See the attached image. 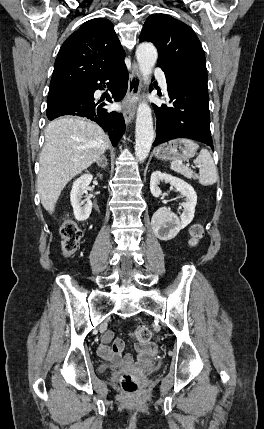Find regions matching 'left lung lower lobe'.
I'll return each mask as SVG.
<instances>
[{"label":"left lung lower lobe","mask_w":264,"mask_h":429,"mask_svg":"<svg viewBox=\"0 0 264 429\" xmlns=\"http://www.w3.org/2000/svg\"><path fill=\"white\" fill-rule=\"evenodd\" d=\"M165 72L171 106L154 105L157 125L153 146L175 138H189L213 148L210 133L208 89L159 66Z\"/></svg>","instance_id":"1"}]
</instances>
